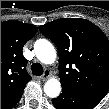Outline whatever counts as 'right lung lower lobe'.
<instances>
[{"mask_svg": "<svg viewBox=\"0 0 109 109\" xmlns=\"http://www.w3.org/2000/svg\"><path fill=\"white\" fill-rule=\"evenodd\" d=\"M24 88H21L18 90L15 94H13L11 97L1 101V109H11L13 108L20 100L22 93L24 91Z\"/></svg>", "mask_w": 109, "mask_h": 109, "instance_id": "98d812e1", "label": "right lung lower lobe"}]
</instances>
